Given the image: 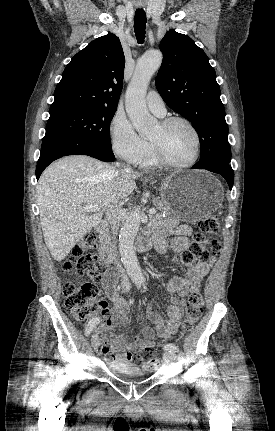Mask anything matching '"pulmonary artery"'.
Listing matches in <instances>:
<instances>
[{
    "instance_id": "e3ab8cb5",
    "label": "pulmonary artery",
    "mask_w": 275,
    "mask_h": 431,
    "mask_svg": "<svg viewBox=\"0 0 275 431\" xmlns=\"http://www.w3.org/2000/svg\"><path fill=\"white\" fill-rule=\"evenodd\" d=\"M148 108L157 116L162 117L166 114L165 103L157 91H150L146 96Z\"/></svg>"
}]
</instances>
